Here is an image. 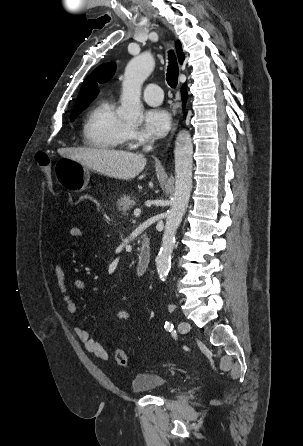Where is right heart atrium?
I'll use <instances>...</instances> for the list:
<instances>
[{
    "instance_id": "d8ad5b80",
    "label": "right heart atrium",
    "mask_w": 303,
    "mask_h": 446,
    "mask_svg": "<svg viewBox=\"0 0 303 446\" xmlns=\"http://www.w3.org/2000/svg\"><path fill=\"white\" fill-rule=\"evenodd\" d=\"M124 140L132 145H136L146 142L148 138L135 127L126 125L124 129Z\"/></svg>"
}]
</instances>
